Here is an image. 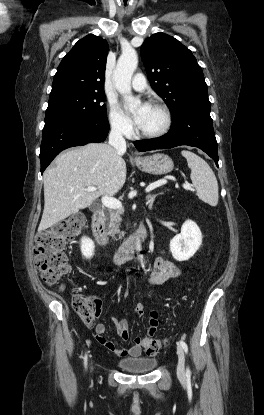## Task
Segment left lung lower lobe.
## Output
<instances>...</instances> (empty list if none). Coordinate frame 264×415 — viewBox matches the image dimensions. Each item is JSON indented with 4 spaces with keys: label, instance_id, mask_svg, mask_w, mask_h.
<instances>
[{
    "label": "left lung lower lobe",
    "instance_id": "obj_1",
    "mask_svg": "<svg viewBox=\"0 0 264 415\" xmlns=\"http://www.w3.org/2000/svg\"><path fill=\"white\" fill-rule=\"evenodd\" d=\"M139 151L168 149L180 145L198 147L206 152L218 167L217 141L210 116V106L190 107L173 118L167 134L154 139L135 141Z\"/></svg>",
    "mask_w": 264,
    "mask_h": 415
}]
</instances>
